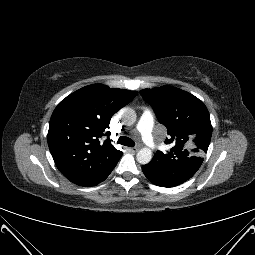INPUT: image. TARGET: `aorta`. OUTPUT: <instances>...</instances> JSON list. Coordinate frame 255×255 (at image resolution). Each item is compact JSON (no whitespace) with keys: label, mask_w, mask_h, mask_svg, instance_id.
Returning <instances> with one entry per match:
<instances>
[{"label":"aorta","mask_w":255,"mask_h":255,"mask_svg":"<svg viewBox=\"0 0 255 255\" xmlns=\"http://www.w3.org/2000/svg\"><path fill=\"white\" fill-rule=\"evenodd\" d=\"M121 119L125 123H133L136 120V114L132 109L126 108L122 110L121 112ZM152 159V150L148 147L141 148L137 155H136V160L140 164H148Z\"/></svg>","instance_id":"762f6f07"}]
</instances>
